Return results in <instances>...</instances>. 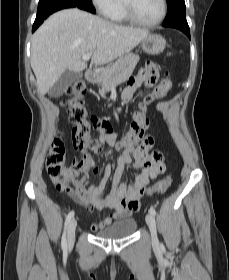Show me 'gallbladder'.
<instances>
[{
    "label": "gallbladder",
    "instance_id": "1",
    "mask_svg": "<svg viewBox=\"0 0 229 280\" xmlns=\"http://www.w3.org/2000/svg\"><path fill=\"white\" fill-rule=\"evenodd\" d=\"M82 76L81 72L66 70L55 85L49 90L51 97H60L68 87Z\"/></svg>",
    "mask_w": 229,
    "mask_h": 280
}]
</instances>
